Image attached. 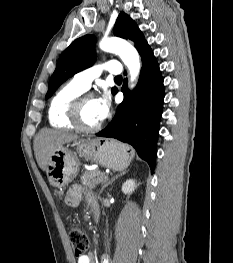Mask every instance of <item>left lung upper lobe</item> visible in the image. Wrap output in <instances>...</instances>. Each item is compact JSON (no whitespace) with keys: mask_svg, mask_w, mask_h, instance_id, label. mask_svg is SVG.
Here are the masks:
<instances>
[{"mask_svg":"<svg viewBox=\"0 0 233 263\" xmlns=\"http://www.w3.org/2000/svg\"><path fill=\"white\" fill-rule=\"evenodd\" d=\"M114 34L132 40L138 52L147 44L137 24L124 12H121L116 20ZM95 41L93 35H85L73 41L64 50L50 79L46 99L51 97L56 89L68 78L93 65L96 60ZM114 90L115 88L112 89V92Z\"/></svg>","mask_w":233,"mask_h":263,"instance_id":"5c2ea615","label":"left lung upper lobe"}]
</instances>
